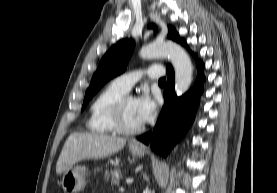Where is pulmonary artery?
Listing matches in <instances>:
<instances>
[{
    "label": "pulmonary artery",
    "mask_w": 277,
    "mask_h": 193,
    "mask_svg": "<svg viewBox=\"0 0 277 193\" xmlns=\"http://www.w3.org/2000/svg\"><path fill=\"white\" fill-rule=\"evenodd\" d=\"M164 70L159 65H153L142 71H133L122 74L113 80V83L125 92H128L132 86L138 82L143 75H147L151 79L161 78Z\"/></svg>",
    "instance_id": "e3ab8cb5"
}]
</instances>
